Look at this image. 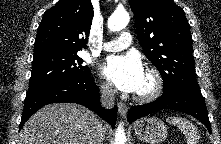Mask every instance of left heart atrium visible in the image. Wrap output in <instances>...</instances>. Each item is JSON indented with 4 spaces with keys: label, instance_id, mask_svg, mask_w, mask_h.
<instances>
[{
    "label": "left heart atrium",
    "instance_id": "1",
    "mask_svg": "<svg viewBox=\"0 0 221 144\" xmlns=\"http://www.w3.org/2000/svg\"><path fill=\"white\" fill-rule=\"evenodd\" d=\"M103 74L117 89L137 92L145 73L140 60L129 54L108 57L103 65Z\"/></svg>",
    "mask_w": 221,
    "mask_h": 144
}]
</instances>
